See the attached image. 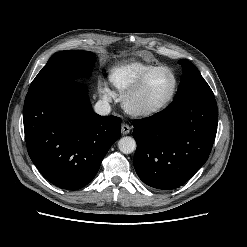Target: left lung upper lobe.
<instances>
[{
	"label": "left lung upper lobe",
	"instance_id": "5c2ea615",
	"mask_svg": "<svg viewBox=\"0 0 247 247\" xmlns=\"http://www.w3.org/2000/svg\"><path fill=\"white\" fill-rule=\"evenodd\" d=\"M178 63L182 66L183 75L175 98L192 92L212 93L209 85L193 63L186 59H182Z\"/></svg>",
	"mask_w": 247,
	"mask_h": 247
}]
</instances>
